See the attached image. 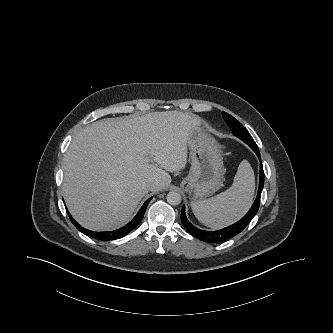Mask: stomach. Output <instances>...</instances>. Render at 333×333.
<instances>
[{
	"instance_id": "obj_1",
	"label": "stomach",
	"mask_w": 333,
	"mask_h": 333,
	"mask_svg": "<svg viewBox=\"0 0 333 333\" xmlns=\"http://www.w3.org/2000/svg\"><path fill=\"white\" fill-rule=\"evenodd\" d=\"M191 158L189 174L181 187L194 201L205 199L219 190L224 181L221 146L204 129H196L188 140Z\"/></svg>"
}]
</instances>
